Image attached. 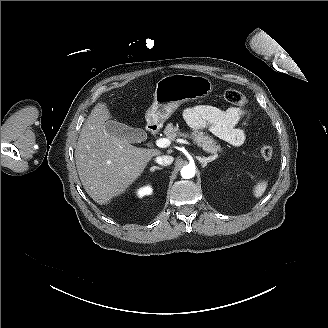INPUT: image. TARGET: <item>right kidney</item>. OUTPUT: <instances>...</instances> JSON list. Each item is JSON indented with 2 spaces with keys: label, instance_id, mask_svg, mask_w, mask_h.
<instances>
[{
  "label": "right kidney",
  "instance_id": "right-kidney-1",
  "mask_svg": "<svg viewBox=\"0 0 328 328\" xmlns=\"http://www.w3.org/2000/svg\"><path fill=\"white\" fill-rule=\"evenodd\" d=\"M150 193H151V188L149 187L142 188L138 191L139 195L150 194Z\"/></svg>",
  "mask_w": 328,
  "mask_h": 328
}]
</instances>
